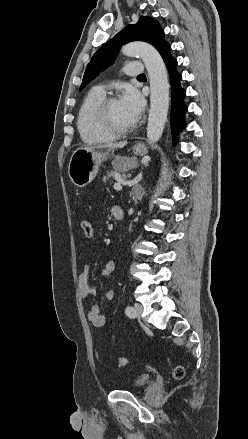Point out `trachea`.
<instances>
[{
  "mask_svg": "<svg viewBox=\"0 0 248 439\" xmlns=\"http://www.w3.org/2000/svg\"><path fill=\"white\" fill-rule=\"evenodd\" d=\"M138 77H145V74H141V75H139Z\"/></svg>",
  "mask_w": 248,
  "mask_h": 439,
  "instance_id": "obj_1",
  "label": "trachea"
}]
</instances>
